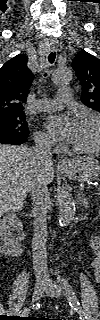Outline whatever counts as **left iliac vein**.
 Returning a JSON list of instances; mask_svg holds the SVG:
<instances>
[{
  "mask_svg": "<svg viewBox=\"0 0 100 320\" xmlns=\"http://www.w3.org/2000/svg\"><path fill=\"white\" fill-rule=\"evenodd\" d=\"M46 291L49 296L54 298H59L61 295L60 288L54 283H49Z\"/></svg>",
  "mask_w": 100,
  "mask_h": 320,
  "instance_id": "1",
  "label": "left iliac vein"
}]
</instances>
